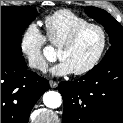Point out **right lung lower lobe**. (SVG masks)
I'll list each match as a JSON object with an SVG mask.
<instances>
[{
  "label": "right lung lower lobe",
  "instance_id": "98d812e1",
  "mask_svg": "<svg viewBox=\"0 0 123 123\" xmlns=\"http://www.w3.org/2000/svg\"><path fill=\"white\" fill-rule=\"evenodd\" d=\"M49 83L27 70L22 55L1 49V123H28L32 107Z\"/></svg>",
  "mask_w": 123,
  "mask_h": 123
}]
</instances>
